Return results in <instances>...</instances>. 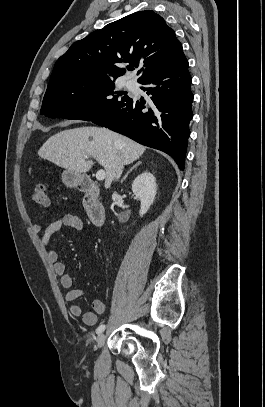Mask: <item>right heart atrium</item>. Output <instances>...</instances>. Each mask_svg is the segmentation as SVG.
Returning a JSON list of instances; mask_svg holds the SVG:
<instances>
[{"label": "right heart atrium", "mask_w": 265, "mask_h": 407, "mask_svg": "<svg viewBox=\"0 0 265 407\" xmlns=\"http://www.w3.org/2000/svg\"><path fill=\"white\" fill-rule=\"evenodd\" d=\"M98 99V94L93 90H87L81 95V104L84 107H91L93 106Z\"/></svg>", "instance_id": "obj_1"}]
</instances>
